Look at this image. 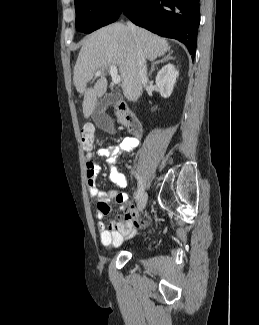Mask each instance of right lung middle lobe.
<instances>
[{"label": "right lung middle lobe", "mask_w": 259, "mask_h": 325, "mask_svg": "<svg viewBox=\"0 0 259 325\" xmlns=\"http://www.w3.org/2000/svg\"><path fill=\"white\" fill-rule=\"evenodd\" d=\"M126 0H75L76 29L91 33L115 22L122 13Z\"/></svg>", "instance_id": "dd1d6c3e"}]
</instances>
